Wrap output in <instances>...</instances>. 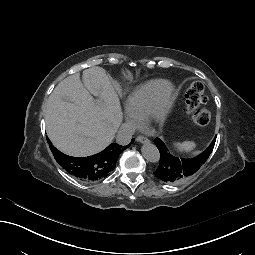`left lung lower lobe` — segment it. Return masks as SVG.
Here are the masks:
<instances>
[{"label": "left lung lower lobe", "mask_w": 255, "mask_h": 255, "mask_svg": "<svg viewBox=\"0 0 255 255\" xmlns=\"http://www.w3.org/2000/svg\"><path fill=\"white\" fill-rule=\"evenodd\" d=\"M154 143H157L159 150V155L156 157L159 165L156 166V169L152 170V176L167 181V184H174V182L186 180V178L196 173L198 169H201V165L207 163L210 153L216 148V143H211L207 151L203 150L201 152V158L179 160L177 157L170 156L167 151H164L163 143L159 141V138H154ZM194 164L196 166H193Z\"/></svg>", "instance_id": "obj_1"}]
</instances>
